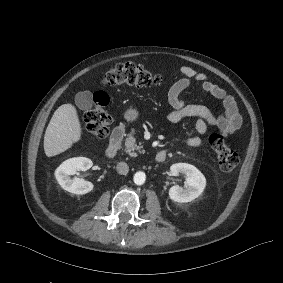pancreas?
Segmentation results:
<instances>
[{
    "label": "pancreas",
    "mask_w": 283,
    "mask_h": 283,
    "mask_svg": "<svg viewBox=\"0 0 283 283\" xmlns=\"http://www.w3.org/2000/svg\"><path fill=\"white\" fill-rule=\"evenodd\" d=\"M134 131L132 130L130 134H128V137L125 140V151L130 155L134 156L136 153L135 150L139 152L141 151V146L136 144V138L133 136Z\"/></svg>",
    "instance_id": "obj_1"
}]
</instances>
